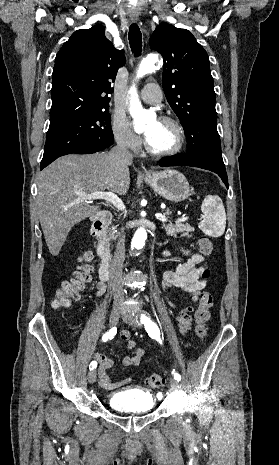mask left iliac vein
<instances>
[{"label": "left iliac vein", "instance_id": "1", "mask_svg": "<svg viewBox=\"0 0 279 465\" xmlns=\"http://www.w3.org/2000/svg\"><path fill=\"white\" fill-rule=\"evenodd\" d=\"M123 320H124V322H126L127 324H129V325H131L133 327H138V328L141 327V323H140L138 317L136 315H134V314H131V313L125 314L123 316ZM170 385H171V391L173 393H176L179 390V383H178V381L176 379L171 378L170 379Z\"/></svg>", "mask_w": 279, "mask_h": 465}]
</instances>
